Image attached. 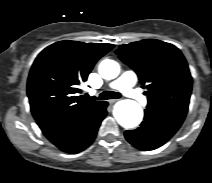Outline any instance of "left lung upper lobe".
Returning <instances> with one entry per match:
<instances>
[{"mask_svg":"<svg viewBox=\"0 0 212 183\" xmlns=\"http://www.w3.org/2000/svg\"><path fill=\"white\" fill-rule=\"evenodd\" d=\"M116 54L137 73L141 84L147 89V110L184 120L192 90V77L177 47L146 39L121 45Z\"/></svg>","mask_w":212,"mask_h":183,"instance_id":"left-lung-upper-lobe-1","label":"left lung upper lobe"}]
</instances>
